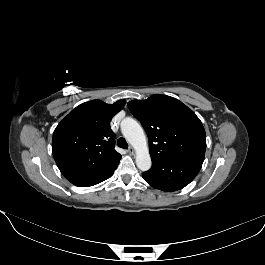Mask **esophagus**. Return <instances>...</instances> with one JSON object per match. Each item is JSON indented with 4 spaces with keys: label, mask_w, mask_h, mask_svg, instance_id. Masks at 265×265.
Returning <instances> with one entry per match:
<instances>
[{
    "label": "esophagus",
    "mask_w": 265,
    "mask_h": 265,
    "mask_svg": "<svg viewBox=\"0 0 265 265\" xmlns=\"http://www.w3.org/2000/svg\"><path fill=\"white\" fill-rule=\"evenodd\" d=\"M128 152L131 155H134L135 154V150L132 147H129Z\"/></svg>",
    "instance_id": "34e87169"
}]
</instances>
